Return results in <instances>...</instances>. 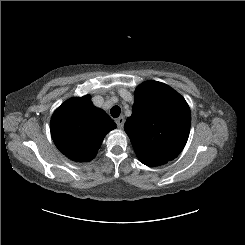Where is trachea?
<instances>
[{"label":"trachea","mask_w":245,"mask_h":245,"mask_svg":"<svg viewBox=\"0 0 245 245\" xmlns=\"http://www.w3.org/2000/svg\"><path fill=\"white\" fill-rule=\"evenodd\" d=\"M112 117L117 118L121 113V108L117 105L113 106L110 110Z\"/></svg>","instance_id":"3493384b"}]
</instances>
